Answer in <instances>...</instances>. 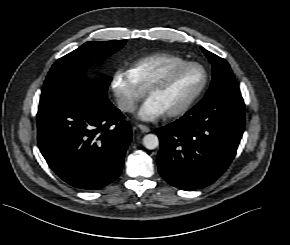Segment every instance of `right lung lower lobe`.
Segmentation results:
<instances>
[{"instance_id":"obj_1","label":"right lung lower lobe","mask_w":290,"mask_h":245,"mask_svg":"<svg viewBox=\"0 0 290 245\" xmlns=\"http://www.w3.org/2000/svg\"><path fill=\"white\" fill-rule=\"evenodd\" d=\"M38 146L66 183L100 189L121 173L131 142L130 123L108 98L90 93L39 105Z\"/></svg>"}]
</instances>
